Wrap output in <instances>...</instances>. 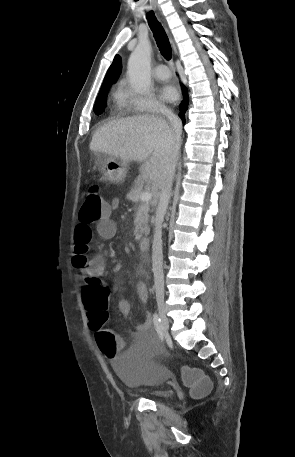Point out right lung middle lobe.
<instances>
[{"label": "right lung middle lobe", "instance_id": "right-lung-middle-lobe-1", "mask_svg": "<svg viewBox=\"0 0 295 457\" xmlns=\"http://www.w3.org/2000/svg\"><path fill=\"white\" fill-rule=\"evenodd\" d=\"M108 91H109V87H105V88H101V90L99 92V95H98L95 105H94V112L97 115H100L104 111L105 107L107 106L106 97H107Z\"/></svg>", "mask_w": 295, "mask_h": 457}]
</instances>
